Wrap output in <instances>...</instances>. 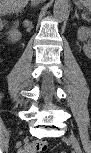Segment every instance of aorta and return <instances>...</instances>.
Listing matches in <instances>:
<instances>
[{
  "label": "aorta",
  "instance_id": "1",
  "mask_svg": "<svg viewBox=\"0 0 91 153\" xmlns=\"http://www.w3.org/2000/svg\"><path fill=\"white\" fill-rule=\"evenodd\" d=\"M69 11V0H55L54 8H53V15L54 18L62 22L68 15Z\"/></svg>",
  "mask_w": 91,
  "mask_h": 153
}]
</instances>
